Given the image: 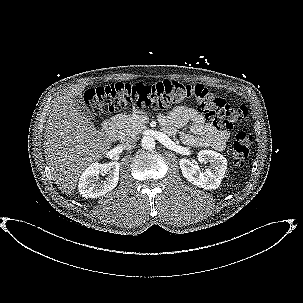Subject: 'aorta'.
I'll list each match as a JSON object with an SVG mask.
<instances>
[{
	"label": "aorta",
	"mask_w": 303,
	"mask_h": 303,
	"mask_svg": "<svg viewBox=\"0 0 303 303\" xmlns=\"http://www.w3.org/2000/svg\"><path fill=\"white\" fill-rule=\"evenodd\" d=\"M155 140L151 136H144L141 140V146L145 150H151L155 147Z\"/></svg>",
	"instance_id": "aorta-1"
}]
</instances>
